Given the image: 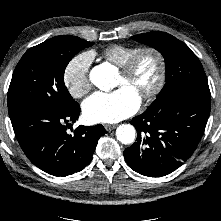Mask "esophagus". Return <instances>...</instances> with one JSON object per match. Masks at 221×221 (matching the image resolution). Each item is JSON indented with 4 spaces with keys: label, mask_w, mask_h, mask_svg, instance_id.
Returning a JSON list of instances; mask_svg holds the SVG:
<instances>
[{
    "label": "esophagus",
    "mask_w": 221,
    "mask_h": 221,
    "mask_svg": "<svg viewBox=\"0 0 221 221\" xmlns=\"http://www.w3.org/2000/svg\"><path fill=\"white\" fill-rule=\"evenodd\" d=\"M104 127H105L106 131H108V132H110L116 128L115 125H110V124H105Z\"/></svg>",
    "instance_id": "1"
}]
</instances>
